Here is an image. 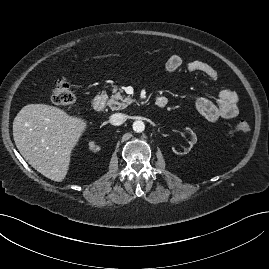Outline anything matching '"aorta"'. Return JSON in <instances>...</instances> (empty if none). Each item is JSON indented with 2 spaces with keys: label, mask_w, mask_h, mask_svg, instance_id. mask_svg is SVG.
I'll list each match as a JSON object with an SVG mask.
<instances>
[{
  "label": "aorta",
  "mask_w": 269,
  "mask_h": 269,
  "mask_svg": "<svg viewBox=\"0 0 269 269\" xmlns=\"http://www.w3.org/2000/svg\"><path fill=\"white\" fill-rule=\"evenodd\" d=\"M145 129V124L143 121H140V120H137L133 123V130L136 132V133H141L143 132Z\"/></svg>",
  "instance_id": "762f6f07"
}]
</instances>
